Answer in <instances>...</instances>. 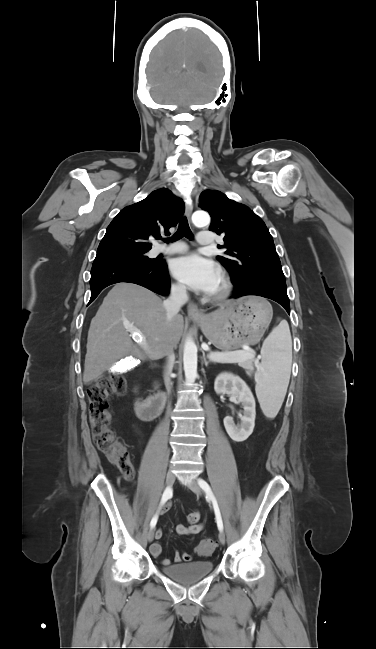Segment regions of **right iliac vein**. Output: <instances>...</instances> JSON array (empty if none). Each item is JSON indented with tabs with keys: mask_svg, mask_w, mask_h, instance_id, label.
Instances as JSON below:
<instances>
[{
	"mask_svg": "<svg viewBox=\"0 0 376 649\" xmlns=\"http://www.w3.org/2000/svg\"><path fill=\"white\" fill-rule=\"evenodd\" d=\"M175 481V476L172 471H169L166 475V484L168 487L172 486ZM154 539V529L151 528L147 533V540L152 542Z\"/></svg>",
	"mask_w": 376,
	"mask_h": 649,
	"instance_id": "1",
	"label": "right iliac vein"
}]
</instances>
